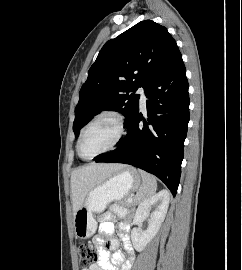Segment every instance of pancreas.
Segmentation results:
<instances>
[{
	"instance_id": "1",
	"label": "pancreas",
	"mask_w": 242,
	"mask_h": 270,
	"mask_svg": "<svg viewBox=\"0 0 242 270\" xmlns=\"http://www.w3.org/2000/svg\"><path fill=\"white\" fill-rule=\"evenodd\" d=\"M124 204L129 207V206L133 205L134 202L131 199H127V200H125Z\"/></svg>"
}]
</instances>
